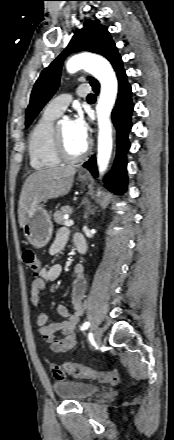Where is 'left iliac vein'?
<instances>
[{"label": "left iliac vein", "instance_id": "obj_1", "mask_svg": "<svg viewBox=\"0 0 174 440\" xmlns=\"http://www.w3.org/2000/svg\"><path fill=\"white\" fill-rule=\"evenodd\" d=\"M102 334H103V331L100 327H97L94 330V340H95L96 344L101 343Z\"/></svg>", "mask_w": 174, "mask_h": 440}]
</instances>
